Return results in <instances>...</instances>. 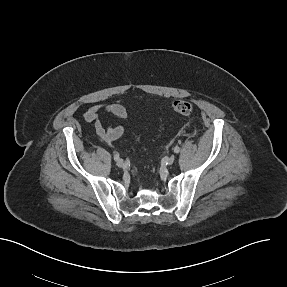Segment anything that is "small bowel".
I'll return each instance as SVG.
<instances>
[{
	"instance_id": "small-bowel-1",
	"label": "small bowel",
	"mask_w": 287,
	"mask_h": 287,
	"mask_svg": "<svg viewBox=\"0 0 287 287\" xmlns=\"http://www.w3.org/2000/svg\"><path fill=\"white\" fill-rule=\"evenodd\" d=\"M101 112L113 114L119 118L125 119L128 117V111L121 102L110 104L97 103L92 105L84 114L83 119L88 123H93L95 131L99 139L105 143H112L121 138L126 133V128L123 125L104 126L99 120Z\"/></svg>"
}]
</instances>
